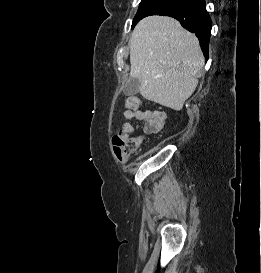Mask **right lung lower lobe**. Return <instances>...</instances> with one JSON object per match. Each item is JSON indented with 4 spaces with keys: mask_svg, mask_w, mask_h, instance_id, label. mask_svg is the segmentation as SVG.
Segmentation results:
<instances>
[{
    "mask_svg": "<svg viewBox=\"0 0 261 273\" xmlns=\"http://www.w3.org/2000/svg\"><path fill=\"white\" fill-rule=\"evenodd\" d=\"M168 9L156 15L170 16L198 37L204 56L208 58L211 19L204 0H167Z\"/></svg>",
    "mask_w": 261,
    "mask_h": 273,
    "instance_id": "98d812e1",
    "label": "right lung lower lobe"
}]
</instances>
